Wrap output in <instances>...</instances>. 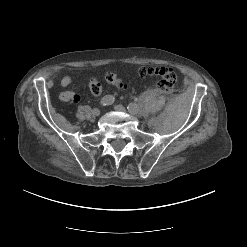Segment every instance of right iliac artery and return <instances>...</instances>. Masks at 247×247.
<instances>
[{
	"label": "right iliac artery",
	"mask_w": 247,
	"mask_h": 247,
	"mask_svg": "<svg viewBox=\"0 0 247 247\" xmlns=\"http://www.w3.org/2000/svg\"><path fill=\"white\" fill-rule=\"evenodd\" d=\"M114 101L115 98L112 95H106L101 99L100 104L101 106H109L112 105Z\"/></svg>",
	"instance_id": "82829eb1"
}]
</instances>
